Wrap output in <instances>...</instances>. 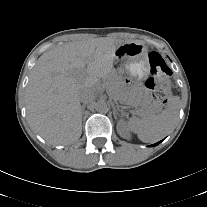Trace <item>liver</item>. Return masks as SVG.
<instances>
[{
    "label": "liver",
    "instance_id": "6515ba94",
    "mask_svg": "<svg viewBox=\"0 0 207 207\" xmlns=\"http://www.w3.org/2000/svg\"><path fill=\"white\" fill-rule=\"evenodd\" d=\"M121 44L100 37L65 43L39 57L31 71L25 98L29 124L45 141L64 145L80 138L79 92L94 90L101 80L109 78Z\"/></svg>",
    "mask_w": 207,
    "mask_h": 207
}]
</instances>
